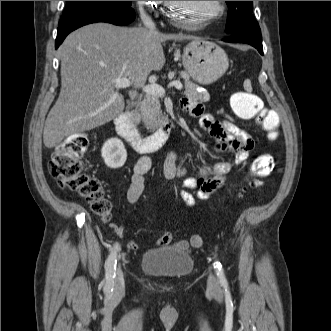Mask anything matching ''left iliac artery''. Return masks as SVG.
<instances>
[{"label": "left iliac artery", "instance_id": "left-iliac-artery-1", "mask_svg": "<svg viewBox=\"0 0 331 331\" xmlns=\"http://www.w3.org/2000/svg\"><path fill=\"white\" fill-rule=\"evenodd\" d=\"M214 268L216 269L217 276L222 286L227 287V281L224 276L222 265L219 262H215Z\"/></svg>", "mask_w": 331, "mask_h": 331}]
</instances>
